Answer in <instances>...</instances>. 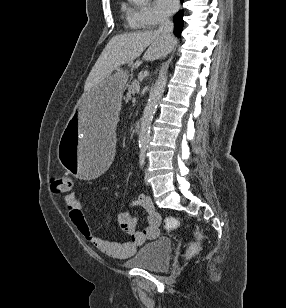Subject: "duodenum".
Segmentation results:
<instances>
[{
    "mask_svg": "<svg viewBox=\"0 0 286 308\" xmlns=\"http://www.w3.org/2000/svg\"><path fill=\"white\" fill-rule=\"evenodd\" d=\"M140 127H141V121L138 120V121L135 122V130L139 131Z\"/></svg>",
    "mask_w": 286,
    "mask_h": 308,
    "instance_id": "obj_1",
    "label": "duodenum"
}]
</instances>
